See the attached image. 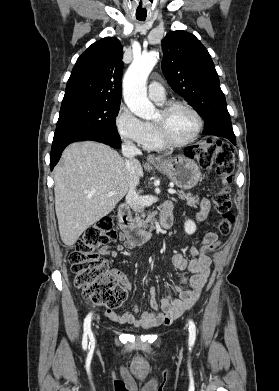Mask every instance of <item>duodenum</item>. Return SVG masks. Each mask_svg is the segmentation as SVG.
<instances>
[{
    "mask_svg": "<svg viewBox=\"0 0 279 391\" xmlns=\"http://www.w3.org/2000/svg\"><path fill=\"white\" fill-rule=\"evenodd\" d=\"M118 223L123 233L125 244L129 247L141 245L152 239L153 230H146L136 226L130 216L129 207L122 204L118 209ZM173 225L172 206L163 207L159 217V227L169 229Z\"/></svg>",
    "mask_w": 279,
    "mask_h": 391,
    "instance_id": "duodenum-1",
    "label": "duodenum"
}]
</instances>
